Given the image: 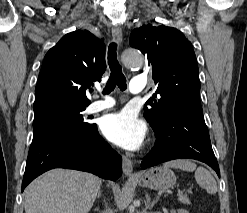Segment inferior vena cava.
Masks as SVG:
<instances>
[{
  "instance_id": "obj_1",
  "label": "inferior vena cava",
  "mask_w": 247,
  "mask_h": 213,
  "mask_svg": "<svg viewBox=\"0 0 247 213\" xmlns=\"http://www.w3.org/2000/svg\"><path fill=\"white\" fill-rule=\"evenodd\" d=\"M103 213H112L111 209L107 208Z\"/></svg>"
}]
</instances>
